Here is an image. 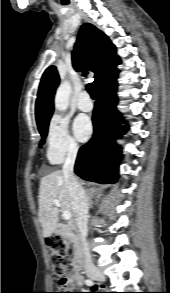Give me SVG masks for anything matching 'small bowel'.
Listing matches in <instances>:
<instances>
[{
    "mask_svg": "<svg viewBox=\"0 0 170 293\" xmlns=\"http://www.w3.org/2000/svg\"><path fill=\"white\" fill-rule=\"evenodd\" d=\"M68 280L73 286L77 288H82L84 286L83 278L76 270L69 273Z\"/></svg>",
    "mask_w": 170,
    "mask_h": 293,
    "instance_id": "obj_1",
    "label": "small bowel"
}]
</instances>
